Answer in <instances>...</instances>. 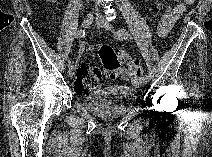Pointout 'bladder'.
<instances>
[{
  "label": "bladder",
  "mask_w": 212,
  "mask_h": 157,
  "mask_svg": "<svg viewBox=\"0 0 212 157\" xmlns=\"http://www.w3.org/2000/svg\"><path fill=\"white\" fill-rule=\"evenodd\" d=\"M82 105L103 119H115L130 110L137 98V91L126 86H105L81 96Z\"/></svg>",
  "instance_id": "31cf9c89"
}]
</instances>
